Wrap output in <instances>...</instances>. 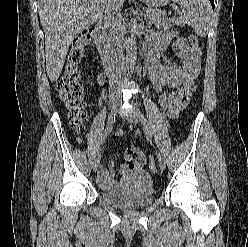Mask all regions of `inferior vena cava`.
<instances>
[{"label":"inferior vena cava","mask_w":248,"mask_h":247,"mask_svg":"<svg viewBox=\"0 0 248 247\" xmlns=\"http://www.w3.org/2000/svg\"><path fill=\"white\" fill-rule=\"evenodd\" d=\"M121 0H107L104 9V20L110 29V34L113 37L114 48L112 58L116 62V71L119 73L122 70L124 60L122 47V24L123 17L121 14Z\"/></svg>","instance_id":"1"}]
</instances>
